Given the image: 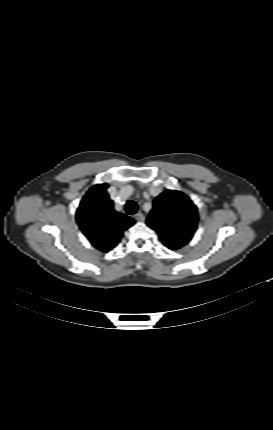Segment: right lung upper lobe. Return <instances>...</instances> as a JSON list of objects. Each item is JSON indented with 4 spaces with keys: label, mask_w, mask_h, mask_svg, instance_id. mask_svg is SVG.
Listing matches in <instances>:
<instances>
[{
    "label": "right lung upper lobe",
    "mask_w": 273,
    "mask_h": 430,
    "mask_svg": "<svg viewBox=\"0 0 273 430\" xmlns=\"http://www.w3.org/2000/svg\"><path fill=\"white\" fill-rule=\"evenodd\" d=\"M107 187V184H97L90 188L76 213L82 232L95 248L103 252L110 251L123 231L134 224L132 218L114 210Z\"/></svg>",
    "instance_id": "1"
}]
</instances>
